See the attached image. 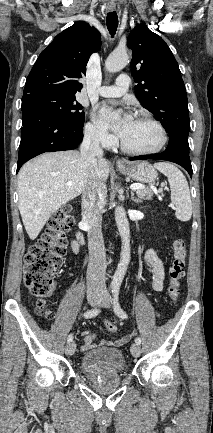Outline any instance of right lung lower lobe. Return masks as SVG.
I'll list each match as a JSON object with an SVG mask.
<instances>
[{"mask_svg":"<svg viewBox=\"0 0 213 433\" xmlns=\"http://www.w3.org/2000/svg\"><path fill=\"white\" fill-rule=\"evenodd\" d=\"M82 139L83 129L39 109H23L17 172L29 159L44 152L75 149Z\"/></svg>","mask_w":213,"mask_h":433,"instance_id":"right-lung-lower-lobe-1","label":"right lung lower lobe"}]
</instances>
